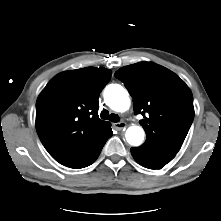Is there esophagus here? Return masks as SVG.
Instances as JSON below:
<instances>
[{
  "label": "esophagus",
  "instance_id": "esophagus-1",
  "mask_svg": "<svg viewBox=\"0 0 221 221\" xmlns=\"http://www.w3.org/2000/svg\"><path fill=\"white\" fill-rule=\"evenodd\" d=\"M113 126L116 130H122L127 127V124L125 122H118V123H114Z\"/></svg>",
  "mask_w": 221,
  "mask_h": 221
}]
</instances>
